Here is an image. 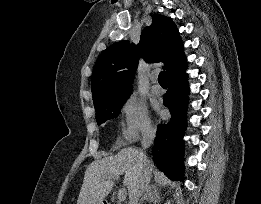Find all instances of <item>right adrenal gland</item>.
Masks as SVG:
<instances>
[{
    "mask_svg": "<svg viewBox=\"0 0 261 204\" xmlns=\"http://www.w3.org/2000/svg\"><path fill=\"white\" fill-rule=\"evenodd\" d=\"M144 201L150 202H160L159 193L156 190H153L151 187H148L142 197L140 198L139 204H142Z\"/></svg>",
    "mask_w": 261,
    "mask_h": 204,
    "instance_id": "1",
    "label": "right adrenal gland"
}]
</instances>
